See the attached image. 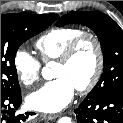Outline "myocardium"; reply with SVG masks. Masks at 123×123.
<instances>
[{"label":"myocardium","instance_id":"f54148a6","mask_svg":"<svg viewBox=\"0 0 123 123\" xmlns=\"http://www.w3.org/2000/svg\"><path fill=\"white\" fill-rule=\"evenodd\" d=\"M90 41L96 50V65L94 72L90 79L84 85L77 87L76 90L80 93L90 92L99 82L105 64L103 44L100 38L92 32H83L75 37L65 48L61 57L57 60L58 64L66 65L71 62L75 54L77 53L80 46L85 42Z\"/></svg>","mask_w":123,"mask_h":123}]
</instances>
